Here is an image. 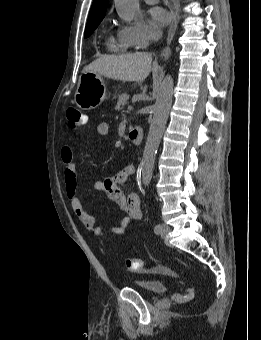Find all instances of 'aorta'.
Here are the masks:
<instances>
[{
    "mask_svg": "<svg viewBox=\"0 0 261 340\" xmlns=\"http://www.w3.org/2000/svg\"><path fill=\"white\" fill-rule=\"evenodd\" d=\"M118 15L125 21L133 20L139 9L138 0H114ZM173 78L167 75L161 82L153 106V118L142 158V182L148 186L152 179L156 153L165 130L172 105Z\"/></svg>",
    "mask_w": 261,
    "mask_h": 340,
    "instance_id": "aorta-1",
    "label": "aorta"
}]
</instances>
